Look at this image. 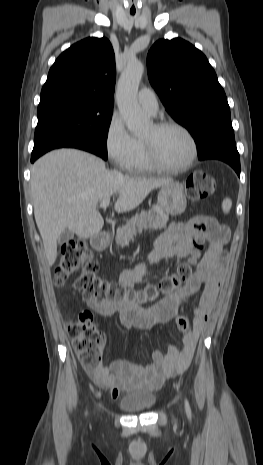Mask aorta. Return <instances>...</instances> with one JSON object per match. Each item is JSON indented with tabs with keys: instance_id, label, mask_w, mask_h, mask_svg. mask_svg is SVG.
<instances>
[{
	"instance_id": "762f6f07",
	"label": "aorta",
	"mask_w": 263,
	"mask_h": 465,
	"mask_svg": "<svg viewBox=\"0 0 263 465\" xmlns=\"http://www.w3.org/2000/svg\"><path fill=\"white\" fill-rule=\"evenodd\" d=\"M144 72L140 61L128 62L117 85L116 99L119 111L127 128L134 134L142 133L149 124V118L141 110L137 93Z\"/></svg>"
}]
</instances>
